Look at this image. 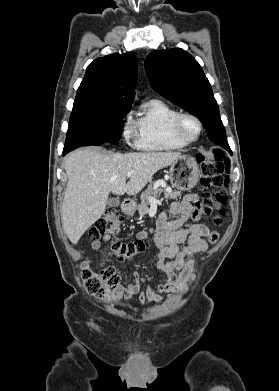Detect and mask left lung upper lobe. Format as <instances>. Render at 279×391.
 <instances>
[{
    "label": "left lung upper lobe",
    "mask_w": 279,
    "mask_h": 391,
    "mask_svg": "<svg viewBox=\"0 0 279 391\" xmlns=\"http://www.w3.org/2000/svg\"><path fill=\"white\" fill-rule=\"evenodd\" d=\"M145 70L155 91L199 118L209 139L230 150L211 85L194 57L180 48L154 51Z\"/></svg>",
    "instance_id": "obj_1"
}]
</instances>
